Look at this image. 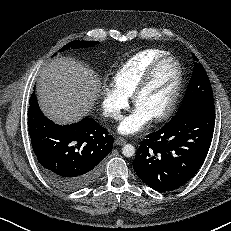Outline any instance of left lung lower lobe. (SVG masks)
<instances>
[{"instance_id":"obj_1","label":"left lung lower lobe","mask_w":231,"mask_h":231,"mask_svg":"<svg viewBox=\"0 0 231 231\" xmlns=\"http://www.w3.org/2000/svg\"><path fill=\"white\" fill-rule=\"evenodd\" d=\"M215 125L214 108H191L171 119L141 143L133 168L158 192L186 184L200 169L209 151Z\"/></svg>"}]
</instances>
